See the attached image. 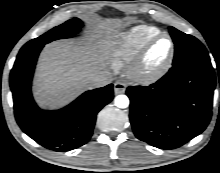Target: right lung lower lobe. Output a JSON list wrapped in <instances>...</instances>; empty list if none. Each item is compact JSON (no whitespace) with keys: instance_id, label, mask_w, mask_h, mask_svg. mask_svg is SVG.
Segmentation results:
<instances>
[{"instance_id":"right-lung-lower-lobe-1","label":"right lung lower lobe","mask_w":220,"mask_h":173,"mask_svg":"<svg viewBox=\"0 0 220 173\" xmlns=\"http://www.w3.org/2000/svg\"><path fill=\"white\" fill-rule=\"evenodd\" d=\"M42 47L20 50L11 70L15 117L22 131L43 147L72 150L90 139L97 113L113 99V85L87 91L58 111L39 109L31 94V80Z\"/></svg>"}]
</instances>
